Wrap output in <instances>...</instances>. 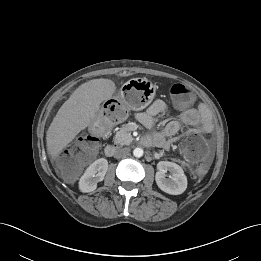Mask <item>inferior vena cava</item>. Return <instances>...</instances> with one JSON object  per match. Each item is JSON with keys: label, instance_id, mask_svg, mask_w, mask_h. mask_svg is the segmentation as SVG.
<instances>
[{"label": "inferior vena cava", "instance_id": "obj_1", "mask_svg": "<svg viewBox=\"0 0 261 261\" xmlns=\"http://www.w3.org/2000/svg\"><path fill=\"white\" fill-rule=\"evenodd\" d=\"M130 153V148L129 147H124V148H118L115 151L114 157L115 158H123L128 156Z\"/></svg>", "mask_w": 261, "mask_h": 261}]
</instances>
